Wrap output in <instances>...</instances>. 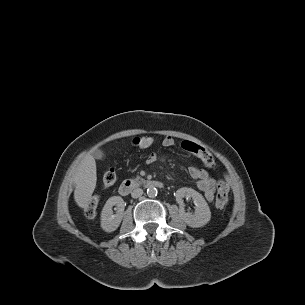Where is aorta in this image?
<instances>
[{"instance_id": "1", "label": "aorta", "mask_w": 305, "mask_h": 305, "mask_svg": "<svg viewBox=\"0 0 305 305\" xmlns=\"http://www.w3.org/2000/svg\"><path fill=\"white\" fill-rule=\"evenodd\" d=\"M158 194V190L154 186H149L147 189V195L151 198L156 197Z\"/></svg>"}]
</instances>
